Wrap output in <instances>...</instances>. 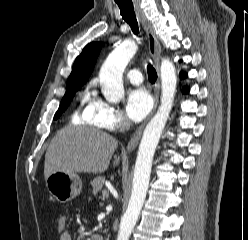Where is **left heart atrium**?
<instances>
[{"label": "left heart atrium", "mask_w": 248, "mask_h": 240, "mask_svg": "<svg viewBox=\"0 0 248 240\" xmlns=\"http://www.w3.org/2000/svg\"><path fill=\"white\" fill-rule=\"evenodd\" d=\"M152 104V97L145 88H134L127 96V115L132 121L138 122L150 112Z\"/></svg>", "instance_id": "obj_1"}]
</instances>
